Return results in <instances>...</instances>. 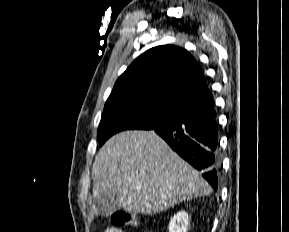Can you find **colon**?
<instances>
[{
  "label": "colon",
  "instance_id": "5ec220e1",
  "mask_svg": "<svg viewBox=\"0 0 289 232\" xmlns=\"http://www.w3.org/2000/svg\"><path fill=\"white\" fill-rule=\"evenodd\" d=\"M111 220H112V223L117 227H126V226L136 225L135 218L131 214L127 212H123V211H117L113 213Z\"/></svg>",
  "mask_w": 289,
  "mask_h": 232
}]
</instances>
